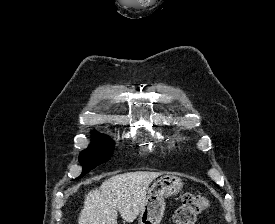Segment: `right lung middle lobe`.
Masks as SVG:
<instances>
[{"label":"right lung middle lobe","instance_id":"1","mask_svg":"<svg viewBox=\"0 0 275 224\" xmlns=\"http://www.w3.org/2000/svg\"><path fill=\"white\" fill-rule=\"evenodd\" d=\"M92 137L93 141L91 145L79 156L83 172L78 178L83 177L96 166L109 160L113 153L114 142L112 140L97 132H94Z\"/></svg>","mask_w":275,"mask_h":224}]
</instances>
